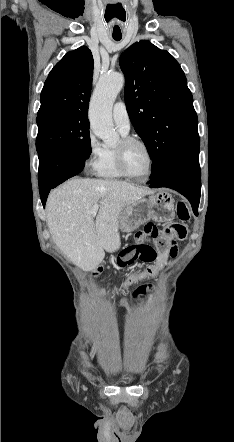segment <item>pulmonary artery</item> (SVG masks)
<instances>
[{
	"mask_svg": "<svg viewBox=\"0 0 234 442\" xmlns=\"http://www.w3.org/2000/svg\"><path fill=\"white\" fill-rule=\"evenodd\" d=\"M113 120L122 134H128L130 130V119L127 107L123 101H118L114 104Z\"/></svg>",
	"mask_w": 234,
	"mask_h": 442,
	"instance_id": "obj_1",
	"label": "pulmonary artery"
}]
</instances>
